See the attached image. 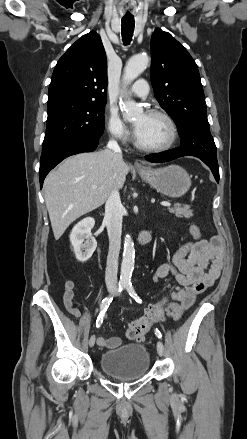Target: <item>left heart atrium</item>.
Instances as JSON below:
<instances>
[{
  "label": "left heart atrium",
  "mask_w": 247,
  "mask_h": 439,
  "mask_svg": "<svg viewBox=\"0 0 247 439\" xmlns=\"http://www.w3.org/2000/svg\"><path fill=\"white\" fill-rule=\"evenodd\" d=\"M135 132H137V127H135Z\"/></svg>",
  "instance_id": "left-heart-atrium-1"
}]
</instances>
